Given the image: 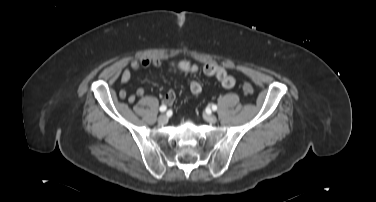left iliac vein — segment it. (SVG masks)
<instances>
[{"label":"left iliac vein","mask_w":376,"mask_h":202,"mask_svg":"<svg viewBox=\"0 0 376 202\" xmlns=\"http://www.w3.org/2000/svg\"><path fill=\"white\" fill-rule=\"evenodd\" d=\"M203 117L207 122L211 124H214L217 122V117L211 113L204 114Z\"/></svg>","instance_id":"4c4485c4"}]
</instances>
